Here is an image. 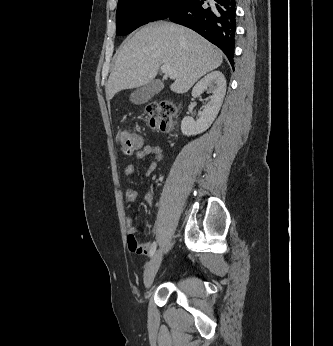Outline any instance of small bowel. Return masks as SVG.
Masks as SVG:
<instances>
[{"label":"small bowel","instance_id":"1","mask_svg":"<svg viewBox=\"0 0 333 346\" xmlns=\"http://www.w3.org/2000/svg\"><path fill=\"white\" fill-rule=\"evenodd\" d=\"M152 156L153 159L150 162L148 169L146 170V175H151L156 169L158 163L163 161L165 157V152L163 147L160 145L146 144L140 150L135 153L137 159H143L146 157ZM135 171L133 164H129L125 167V174L131 176ZM136 191L133 188H129L126 193V200L128 203L135 201ZM153 200V187H149L145 195L146 203H151ZM126 226L128 229L127 232V241L126 246L131 250V254H152V244L150 242L142 243V240L139 239L138 229L134 224V219L128 217L126 219Z\"/></svg>","mask_w":333,"mask_h":346}]
</instances>
